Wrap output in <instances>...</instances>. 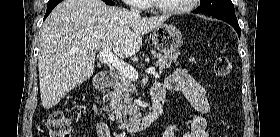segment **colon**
I'll list each match as a JSON object with an SVG mask.
<instances>
[{"label":"colon","mask_w":280,"mask_h":137,"mask_svg":"<svg viewBox=\"0 0 280 137\" xmlns=\"http://www.w3.org/2000/svg\"><path fill=\"white\" fill-rule=\"evenodd\" d=\"M231 72V62L228 57L220 55L214 63V73L217 76H228ZM70 121L59 108L54 109L47 120L48 137H70ZM103 137H109L108 130H104Z\"/></svg>","instance_id":"colon-1"}]
</instances>
